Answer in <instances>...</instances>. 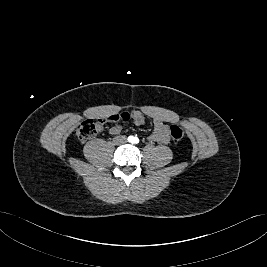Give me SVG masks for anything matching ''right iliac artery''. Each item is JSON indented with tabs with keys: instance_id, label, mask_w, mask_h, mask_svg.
Returning <instances> with one entry per match:
<instances>
[{
	"instance_id": "82829eb1",
	"label": "right iliac artery",
	"mask_w": 267,
	"mask_h": 267,
	"mask_svg": "<svg viewBox=\"0 0 267 267\" xmlns=\"http://www.w3.org/2000/svg\"><path fill=\"white\" fill-rule=\"evenodd\" d=\"M128 140L131 142L132 141V137H129Z\"/></svg>"
}]
</instances>
